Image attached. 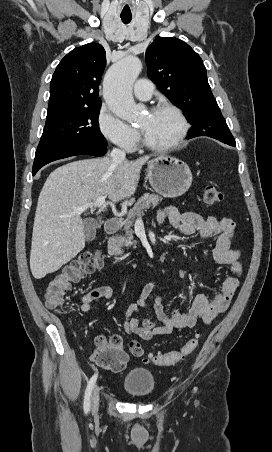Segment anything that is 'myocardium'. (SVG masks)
<instances>
[{
  "label": "myocardium",
  "instance_id": "f54148a6",
  "mask_svg": "<svg viewBox=\"0 0 272 452\" xmlns=\"http://www.w3.org/2000/svg\"><path fill=\"white\" fill-rule=\"evenodd\" d=\"M169 112L171 114H173L178 123H179V129L178 132L176 134V136L174 137V139L168 143H164V144H153L151 142H149L143 135L142 131L139 129V138H140V143L150 149V150H154V151H167V150H172L176 147H178L186 138L187 133H188V129H189V124L188 121L185 117V115L182 113V111L177 108L174 105L171 104H160V105H156L154 107H152L150 109V114H155L158 112Z\"/></svg>",
  "mask_w": 272,
  "mask_h": 452
}]
</instances>
